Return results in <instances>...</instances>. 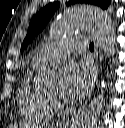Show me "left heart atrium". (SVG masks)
Listing matches in <instances>:
<instances>
[{"label": "left heart atrium", "instance_id": "left-heart-atrium-1", "mask_svg": "<svg viewBox=\"0 0 125 128\" xmlns=\"http://www.w3.org/2000/svg\"><path fill=\"white\" fill-rule=\"evenodd\" d=\"M93 84V71L84 62L69 63L61 71L60 97L69 103L82 99Z\"/></svg>", "mask_w": 125, "mask_h": 128}]
</instances>
